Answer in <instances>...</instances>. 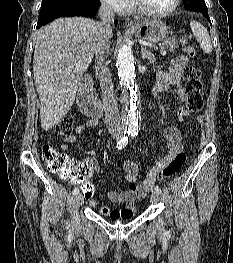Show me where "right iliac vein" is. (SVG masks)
I'll return each instance as SVG.
<instances>
[{
    "label": "right iliac vein",
    "instance_id": "63e3f726",
    "mask_svg": "<svg viewBox=\"0 0 233 263\" xmlns=\"http://www.w3.org/2000/svg\"><path fill=\"white\" fill-rule=\"evenodd\" d=\"M83 201V195L82 194H77L74 198V201H73V205H74V214H73V217H74V221L76 222L77 221V208L78 206L82 203Z\"/></svg>",
    "mask_w": 233,
    "mask_h": 263
}]
</instances>
